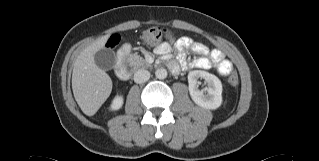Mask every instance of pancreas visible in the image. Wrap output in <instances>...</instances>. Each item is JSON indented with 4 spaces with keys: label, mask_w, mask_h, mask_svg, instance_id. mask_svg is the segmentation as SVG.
Returning a JSON list of instances; mask_svg holds the SVG:
<instances>
[{
    "label": "pancreas",
    "mask_w": 319,
    "mask_h": 161,
    "mask_svg": "<svg viewBox=\"0 0 319 161\" xmlns=\"http://www.w3.org/2000/svg\"><path fill=\"white\" fill-rule=\"evenodd\" d=\"M127 60L129 61L130 65L134 68V69H139V68H148L151 65L148 64L146 62L145 59H143L142 57H140L137 54H130L127 58Z\"/></svg>",
    "instance_id": "obj_1"
}]
</instances>
